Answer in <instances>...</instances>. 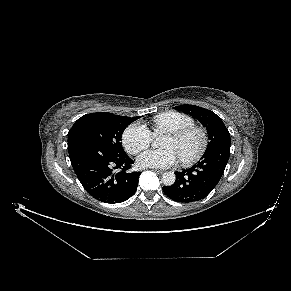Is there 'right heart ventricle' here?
<instances>
[{
	"label": "right heart ventricle",
	"instance_id": "e07e8e85",
	"mask_svg": "<svg viewBox=\"0 0 291 291\" xmlns=\"http://www.w3.org/2000/svg\"><path fill=\"white\" fill-rule=\"evenodd\" d=\"M194 124L195 121L191 116L177 111L163 112L152 119L155 134L168 133Z\"/></svg>",
	"mask_w": 291,
	"mask_h": 291
}]
</instances>
